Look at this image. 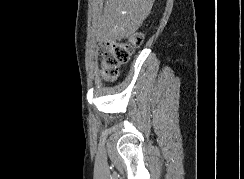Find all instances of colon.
<instances>
[{"instance_id": "colon-1", "label": "colon", "mask_w": 244, "mask_h": 179, "mask_svg": "<svg viewBox=\"0 0 244 179\" xmlns=\"http://www.w3.org/2000/svg\"><path fill=\"white\" fill-rule=\"evenodd\" d=\"M143 41L142 34H136L129 42H111L100 48L102 55V74L107 80L118 76L119 67L126 64L134 48L139 47Z\"/></svg>"}]
</instances>
